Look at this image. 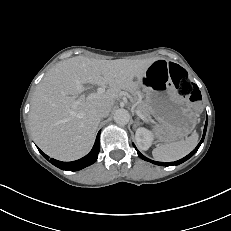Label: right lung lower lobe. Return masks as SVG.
Masks as SVG:
<instances>
[{"instance_id": "right-lung-lower-lobe-1", "label": "right lung lower lobe", "mask_w": 231, "mask_h": 231, "mask_svg": "<svg viewBox=\"0 0 231 231\" xmlns=\"http://www.w3.org/2000/svg\"><path fill=\"white\" fill-rule=\"evenodd\" d=\"M38 150L45 159L49 160V156L44 154L40 149ZM99 150H100V132L96 137V141L92 150L85 157L72 162H62L51 158L49 162L62 170L78 171L93 164L98 158Z\"/></svg>"}]
</instances>
